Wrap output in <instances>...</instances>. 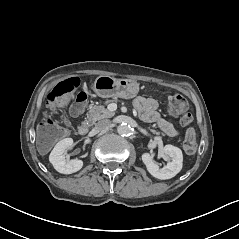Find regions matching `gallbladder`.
Wrapping results in <instances>:
<instances>
[{
    "label": "gallbladder",
    "instance_id": "bac80fb5",
    "mask_svg": "<svg viewBox=\"0 0 239 239\" xmlns=\"http://www.w3.org/2000/svg\"><path fill=\"white\" fill-rule=\"evenodd\" d=\"M47 149H48V148H46V150H47ZM38 151H39V153H41V148L38 147Z\"/></svg>",
    "mask_w": 239,
    "mask_h": 239
}]
</instances>
